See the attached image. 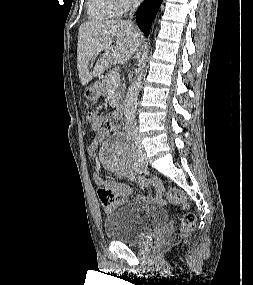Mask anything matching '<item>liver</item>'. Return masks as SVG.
<instances>
[{
    "label": "liver",
    "instance_id": "liver-1",
    "mask_svg": "<svg viewBox=\"0 0 253 285\" xmlns=\"http://www.w3.org/2000/svg\"><path fill=\"white\" fill-rule=\"evenodd\" d=\"M140 32L128 21H88L79 27L77 44V69L83 86L106 68L116 63H125L139 47ZM114 42V45L112 43ZM111 44L108 48H97ZM92 70L90 62L98 55Z\"/></svg>",
    "mask_w": 253,
    "mask_h": 285
}]
</instances>
